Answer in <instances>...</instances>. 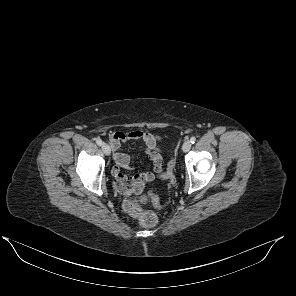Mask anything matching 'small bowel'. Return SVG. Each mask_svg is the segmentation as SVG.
<instances>
[{"label": "small bowel", "instance_id": "1", "mask_svg": "<svg viewBox=\"0 0 296 296\" xmlns=\"http://www.w3.org/2000/svg\"><path fill=\"white\" fill-rule=\"evenodd\" d=\"M130 140H139L145 144V154L153 164L154 172L137 173L131 176L125 175L122 170L130 168L129 156L121 150V144ZM108 141L112 148L115 166L112 169L114 185L118 191L125 195L140 193L147 181L152 180L155 174L161 171L162 157L158 147L160 137L147 131L111 132Z\"/></svg>", "mask_w": 296, "mask_h": 296}]
</instances>
